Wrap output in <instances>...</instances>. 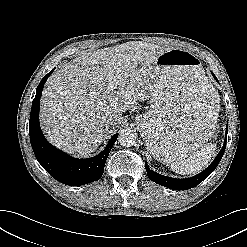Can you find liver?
<instances>
[{
	"instance_id": "6515ba94",
	"label": "liver",
	"mask_w": 247,
	"mask_h": 247,
	"mask_svg": "<svg viewBox=\"0 0 247 247\" xmlns=\"http://www.w3.org/2000/svg\"><path fill=\"white\" fill-rule=\"evenodd\" d=\"M168 50L132 41L59 66L47 80L40 104L41 127L50 142L69 154L90 156L106 136L111 114L121 118L150 98L158 75L154 65Z\"/></svg>"
}]
</instances>
